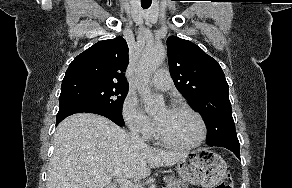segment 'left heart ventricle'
<instances>
[{
  "mask_svg": "<svg viewBox=\"0 0 292 188\" xmlns=\"http://www.w3.org/2000/svg\"><path fill=\"white\" fill-rule=\"evenodd\" d=\"M161 133L178 144L194 142L200 135V124L195 116L185 111L163 108L155 114Z\"/></svg>",
  "mask_w": 292,
  "mask_h": 188,
  "instance_id": "1",
  "label": "left heart ventricle"
}]
</instances>
